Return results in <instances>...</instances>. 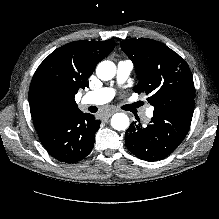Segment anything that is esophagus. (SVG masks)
Returning a JSON list of instances; mask_svg holds the SVG:
<instances>
[{"mask_svg":"<svg viewBox=\"0 0 219 219\" xmlns=\"http://www.w3.org/2000/svg\"><path fill=\"white\" fill-rule=\"evenodd\" d=\"M117 111H118V109L113 108V109L110 111L109 114H104V115H103L102 120H103L104 122H107V121H108V118L110 117V115H111L112 113H114V112H117Z\"/></svg>","mask_w":219,"mask_h":219,"instance_id":"1","label":"esophagus"}]
</instances>
